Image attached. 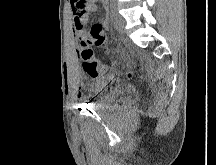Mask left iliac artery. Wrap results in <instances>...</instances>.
Masks as SVG:
<instances>
[{"label":"left iliac artery","mask_w":216,"mask_h":165,"mask_svg":"<svg viewBox=\"0 0 216 165\" xmlns=\"http://www.w3.org/2000/svg\"><path fill=\"white\" fill-rule=\"evenodd\" d=\"M115 12H116V8H115V6L113 5V6H111V17H114Z\"/></svg>","instance_id":"left-iliac-artery-1"}]
</instances>
